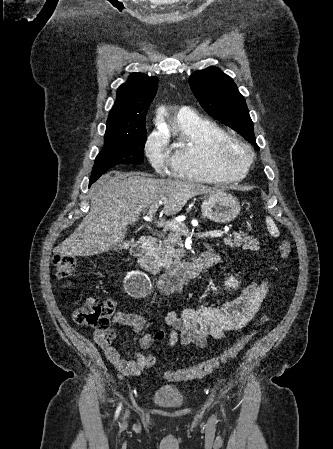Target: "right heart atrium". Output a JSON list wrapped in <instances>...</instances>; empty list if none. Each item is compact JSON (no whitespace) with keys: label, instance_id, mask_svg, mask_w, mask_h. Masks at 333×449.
I'll use <instances>...</instances> for the list:
<instances>
[{"label":"right heart atrium","instance_id":"right-heart-atrium-1","mask_svg":"<svg viewBox=\"0 0 333 449\" xmlns=\"http://www.w3.org/2000/svg\"><path fill=\"white\" fill-rule=\"evenodd\" d=\"M144 152L157 173L164 175L172 168L173 157L168 142L160 133L149 134L144 144Z\"/></svg>","mask_w":333,"mask_h":449}]
</instances>
